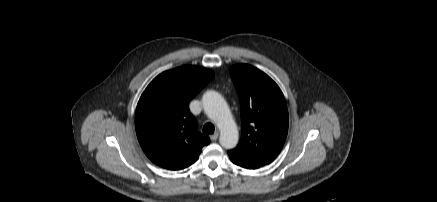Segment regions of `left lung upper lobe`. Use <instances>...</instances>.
I'll list each match as a JSON object with an SVG mask.
<instances>
[{
	"label": "left lung upper lobe",
	"mask_w": 437,
	"mask_h": 202,
	"mask_svg": "<svg viewBox=\"0 0 437 202\" xmlns=\"http://www.w3.org/2000/svg\"><path fill=\"white\" fill-rule=\"evenodd\" d=\"M230 75L240 98L242 135L228 154L259 168L271 163L284 145L289 123L286 101L278 85L251 65H234Z\"/></svg>",
	"instance_id": "left-lung-upper-lobe-1"
}]
</instances>
